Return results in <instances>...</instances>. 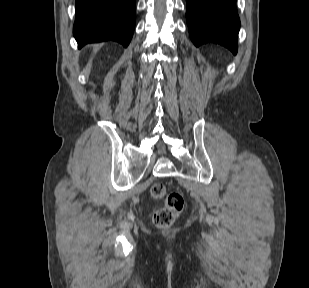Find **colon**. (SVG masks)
<instances>
[{
    "label": "colon",
    "mask_w": 309,
    "mask_h": 288,
    "mask_svg": "<svg viewBox=\"0 0 309 288\" xmlns=\"http://www.w3.org/2000/svg\"><path fill=\"white\" fill-rule=\"evenodd\" d=\"M150 192L154 199L164 200V206L154 214L155 225L160 228L171 226L184 208L185 200L183 195L179 192L169 193L162 183L153 184Z\"/></svg>",
    "instance_id": "1"
}]
</instances>
